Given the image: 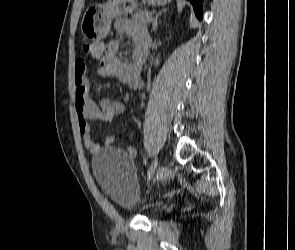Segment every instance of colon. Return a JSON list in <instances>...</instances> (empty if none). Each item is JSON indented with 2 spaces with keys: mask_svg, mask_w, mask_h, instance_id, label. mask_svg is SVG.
Wrapping results in <instances>:
<instances>
[{
  "mask_svg": "<svg viewBox=\"0 0 295 250\" xmlns=\"http://www.w3.org/2000/svg\"><path fill=\"white\" fill-rule=\"evenodd\" d=\"M99 43H85L83 46V52L87 55H92V53L96 50Z\"/></svg>",
  "mask_w": 295,
  "mask_h": 250,
  "instance_id": "obj_1",
  "label": "colon"
}]
</instances>
